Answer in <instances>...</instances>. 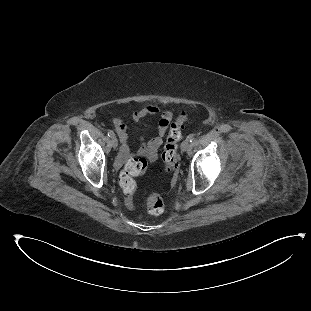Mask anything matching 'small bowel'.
Returning <instances> with one entry per match:
<instances>
[{
    "label": "small bowel",
    "mask_w": 311,
    "mask_h": 311,
    "mask_svg": "<svg viewBox=\"0 0 311 311\" xmlns=\"http://www.w3.org/2000/svg\"><path fill=\"white\" fill-rule=\"evenodd\" d=\"M149 116L159 117L157 132L152 138L141 141V147L138 151V154L141 157L152 161L157 157L158 149L163 143L164 137L172 121L173 114L170 110H161L156 104H149L138 110H135L131 115V119L134 123H137L141 119ZM114 126L121 142L120 158L122 160H127L130 156L127 126L120 119L115 120Z\"/></svg>",
    "instance_id": "c3829d8e"
}]
</instances>
